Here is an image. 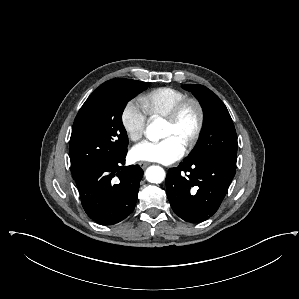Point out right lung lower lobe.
<instances>
[{"label": "right lung lower lobe", "instance_id": "98d812e1", "mask_svg": "<svg viewBox=\"0 0 299 299\" xmlns=\"http://www.w3.org/2000/svg\"><path fill=\"white\" fill-rule=\"evenodd\" d=\"M126 152L75 179L82 206L99 224L112 225L134 209L143 171L138 165L122 167Z\"/></svg>", "mask_w": 299, "mask_h": 299}]
</instances>
